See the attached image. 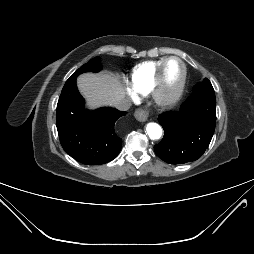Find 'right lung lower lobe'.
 <instances>
[{
	"label": "right lung lower lobe",
	"instance_id": "right-lung-lower-lobe-1",
	"mask_svg": "<svg viewBox=\"0 0 254 254\" xmlns=\"http://www.w3.org/2000/svg\"><path fill=\"white\" fill-rule=\"evenodd\" d=\"M126 112L103 107L89 111L84 107L76 78L68 79L57 104V130L64 150L86 165L105 164L120 152L122 139L116 121Z\"/></svg>",
	"mask_w": 254,
	"mask_h": 254
}]
</instances>
